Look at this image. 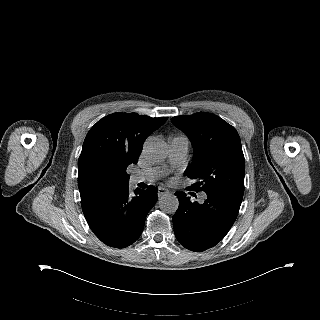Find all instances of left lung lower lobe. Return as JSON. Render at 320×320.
<instances>
[{"label":"left lung lower lobe","instance_id":"0a47b994","mask_svg":"<svg viewBox=\"0 0 320 320\" xmlns=\"http://www.w3.org/2000/svg\"><path fill=\"white\" fill-rule=\"evenodd\" d=\"M179 207L173 216L174 233L187 249L205 251L219 243L238 215L241 202L224 193L207 194L203 203L192 202L184 192H176Z\"/></svg>","mask_w":320,"mask_h":320}]
</instances>
